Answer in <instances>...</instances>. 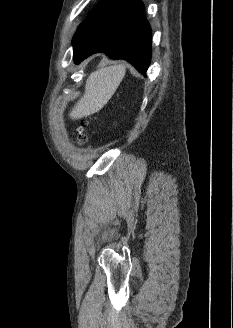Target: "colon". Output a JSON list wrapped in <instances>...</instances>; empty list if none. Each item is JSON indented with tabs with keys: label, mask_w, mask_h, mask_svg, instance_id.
<instances>
[{
	"label": "colon",
	"mask_w": 233,
	"mask_h": 328,
	"mask_svg": "<svg viewBox=\"0 0 233 328\" xmlns=\"http://www.w3.org/2000/svg\"><path fill=\"white\" fill-rule=\"evenodd\" d=\"M87 140V136L84 133L83 128L79 129L78 136H77V141L80 143H83Z\"/></svg>",
	"instance_id": "5ec220e1"
}]
</instances>
